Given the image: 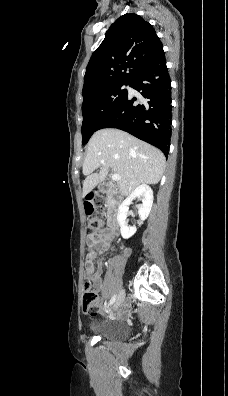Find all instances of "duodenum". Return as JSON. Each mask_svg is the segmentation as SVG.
Listing matches in <instances>:
<instances>
[{"label":"duodenum","instance_id":"1","mask_svg":"<svg viewBox=\"0 0 228 396\" xmlns=\"http://www.w3.org/2000/svg\"><path fill=\"white\" fill-rule=\"evenodd\" d=\"M105 193L109 195L110 205L108 210V226L111 230H117L120 220V207L123 201L122 194L116 189H106Z\"/></svg>","mask_w":228,"mask_h":396}]
</instances>
